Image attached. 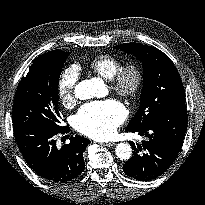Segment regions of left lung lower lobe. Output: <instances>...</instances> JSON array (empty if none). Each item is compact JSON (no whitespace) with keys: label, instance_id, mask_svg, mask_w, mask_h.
Returning <instances> with one entry per match:
<instances>
[{"label":"left lung lower lobe","instance_id":"1","mask_svg":"<svg viewBox=\"0 0 205 205\" xmlns=\"http://www.w3.org/2000/svg\"><path fill=\"white\" fill-rule=\"evenodd\" d=\"M187 128L186 106L166 110L145 125L125 132L145 136L142 144L130 142L133 156L123 165L129 177L140 181L157 178L174 162L181 150Z\"/></svg>","mask_w":205,"mask_h":205}]
</instances>
